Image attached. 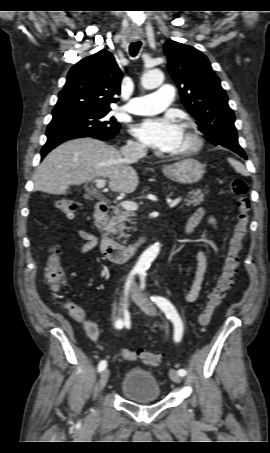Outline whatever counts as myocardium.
Segmentation results:
<instances>
[{
	"instance_id": "f54148a6",
	"label": "myocardium",
	"mask_w": 270,
	"mask_h": 453,
	"mask_svg": "<svg viewBox=\"0 0 270 453\" xmlns=\"http://www.w3.org/2000/svg\"><path fill=\"white\" fill-rule=\"evenodd\" d=\"M180 125L188 130L189 136L191 138V144L186 149L174 153H169L168 156L172 158H182L194 155L198 151H200L203 145V139L194 122L188 119H183Z\"/></svg>"
}]
</instances>
